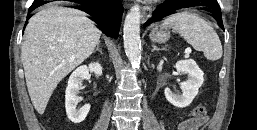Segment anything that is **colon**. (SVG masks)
Returning a JSON list of instances; mask_svg holds the SVG:
<instances>
[{
    "mask_svg": "<svg viewBox=\"0 0 257 130\" xmlns=\"http://www.w3.org/2000/svg\"><path fill=\"white\" fill-rule=\"evenodd\" d=\"M207 114V106L205 104L196 106L192 111V119L202 120Z\"/></svg>",
    "mask_w": 257,
    "mask_h": 130,
    "instance_id": "5ec220e1",
    "label": "colon"
}]
</instances>
